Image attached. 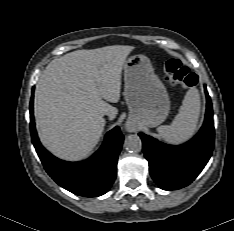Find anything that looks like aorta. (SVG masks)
<instances>
[{"instance_id":"762f6f07","label":"aorta","mask_w":234,"mask_h":231,"mask_svg":"<svg viewBox=\"0 0 234 231\" xmlns=\"http://www.w3.org/2000/svg\"><path fill=\"white\" fill-rule=\"evenodd\" d=\"M124 147L129 152H139L142 149V141L136 134L128 135L125 138Z\"/></svg>"}]
</instances>
